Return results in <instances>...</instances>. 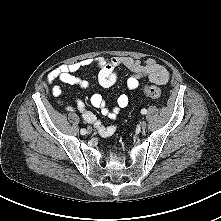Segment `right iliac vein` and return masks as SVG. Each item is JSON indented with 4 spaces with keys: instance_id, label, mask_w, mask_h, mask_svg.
Wrapping results in <instances>:
<instances>
[{
    "instance_id": "obj_1",
    "label": "right iliac vein",
    "mask_w": 221,
    "mask_h": 221,
    "mask_svg": "<svg viewBox=\"0 0 221 221\" xmlns=\"http://www.w3.org/2000/svg\"><path fill=\"white\" fill-rule=\"evenodd\" d=\"M91 131H92L91 128H88L87 133H91Z\"/></svg>"
}]
</instances>
